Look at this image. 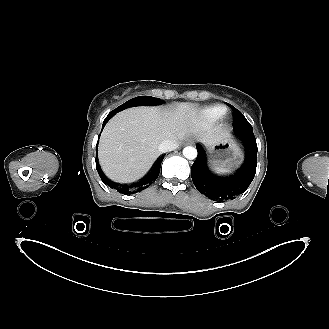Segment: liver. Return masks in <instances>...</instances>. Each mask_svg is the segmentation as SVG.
<instances>
[{
    "instance_id": "obj_1",
    "label": "liver",
    "mask_w": 329,
    "mask_h": 329,
    "mask_svg": "<svg viewBox=\"0 0 329 329\" xmlns=\"http://www.w3.org/2000/svg\"><path fill=\"white\" fill-rule=\"evenodd\" d=\"M193 135L203 143H216L228 137L227 130L205 126L191 104L176 110L140 107L115 115L100 137L98 156L105 174L127 183L140 178L161 154L159 145L178 142Z\"/></svg>"
}]
</instances>
